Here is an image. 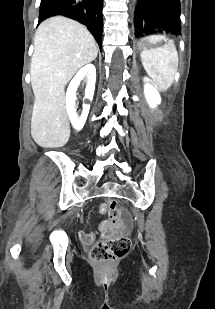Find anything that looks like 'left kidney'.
I'll return each instance as SVG.
<instances>
[{
    "label": "left kidney",
    "mask_w": 215,
    "mask_h": 309,
    "mask_svg": "<svg viewBox=\"0 0 215 309\" xmlns=\"http://www.w3.org/2000/svg\"><path fill=\"white\" fill-rule=\"evenodd\" d=\"M147 80H149V78H145L146 84H144V92H145L146 100L148 104H150L151 108H155L157 104H160L161 96L158 90H156L155 86H152V84H149Z\"/></svg>",
    "instance_id": "1"
}]
</instances>
